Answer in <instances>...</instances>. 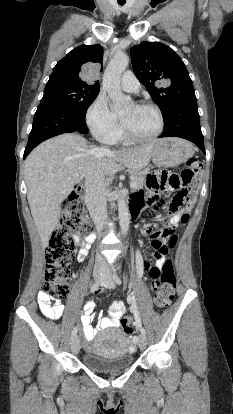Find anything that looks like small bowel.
Returning a JSON list of instances; mask_svg holds the SVG:
<instances>
[{
	"instance_id": "1",
	"label": "small bowel",
	"mask_w": 233,
	"mask_h": 414,
	"mask_svg": "<svg viewBox=\"0 0 233 414\" xmlns=\"http://www.w3.org/2000/svg\"><path fill=\"white\" fill-rule=\"evenodd\" d=\"M153 193L147 191L146 194H141V193H137L133 196L132 198V209L138 213L140 211V209L148 202L151 200V198L153 197ZM187 212L186 208H180L179 210H177L173 216L170 219V225L171 226H176L179 222H181V217L182 215ZM144 233H149V229L148 228H144ZM93 240V235L90 234L87 237H85L82 241L79 242V251H78V261L82 262L84 261L86 255H87V251H88V247L89 244L91 243V241ZM165 261V255L161 256L160 258L157 259L156 262V266L157 268H161L163 263ZM151 266L145 262L142 257L138 254L137 255V275L140 278L144 272V270H147L149 272ZM150 277L152 278L153 281L154 278L151 276V274L149 273ZM154 284V282H153ZM37 301H38V306L39 309L41 311V313L47 317L48 319L51 320H57L59 318L62 317L63 313H64V306L61 302H59L58 300L53 299L51 296H49L47 293L45 292H39L37 295ZM128 304H129V309L134 313L137 309L138 306L135 304L136 303V296L134 293H131L128 296ZM94 308H95V304L92 300L88 301L83 309V314L81 316V323H82V328H83V334L84 337L86 339V341H91L95 334H96V329L92 326V320L94 318ZM126 307H125V303L121 300H115L111 303L110 307H109V312H108V316L107 317H102V316H98V325L97 328L98 329H105V328H109V327H119L121 324V319L123 314L125 313Z\"/></svg>"
}]
</instances>
